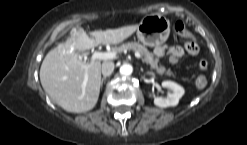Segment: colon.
Here are the masks:
<instances>
[{"label": "colon", "mask_w": 247, "mask_h": 145, "mask_svg": "<svg viewBox=\"0 0 247 145\" xmlns=\"http://www.w3.org/2000/svg\"><path fill=\"white\" fill-rule=\"evenodd\" d=\"M173 28H174V31L177 34L181 35L182 37L190 39V40H194L195 39L194 34L191 31L187 30L182 22H176L174 24ZM199 68L202 71H206L207 68H208V62L205 59L200 60ZM207 83H208V80H207V77L205 75L199 76L197 78V80H196V85L199 88H204L207 85Z\"/></svg>", "instance_id": "colon-1"}]
</instances>
